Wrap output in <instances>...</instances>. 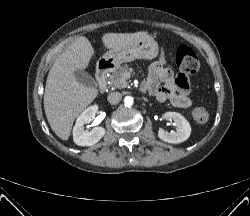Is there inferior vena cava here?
<instances>
[{"instance_id": "602c4592", "label": "inferior vena cava", "mask_w": 250, "mask_h": 216, "mask_svg": "<svg viewBox=\"0 0 250 216\" xmlns=\"http://www.w3.org/2000/svg\"><path fill=\"white\" fill-rule=\"evenodd\" d=\"M122 95L120 92H112L108 95L107 99L110 104H117L121 101Z\"/></svg>"}]
</instances>
